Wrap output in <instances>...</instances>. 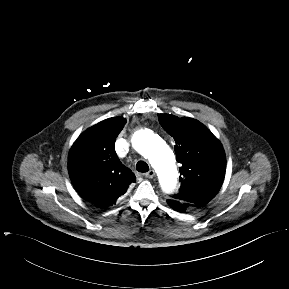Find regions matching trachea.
Wrapping results in <instances>:
<instances>
[{"mask_svg": "<svg viewBox=\"0 0 289 289\" xmlns=\"http://www.w3.org/2000/svg\"><path fill=\"white\" fill-rule=\"evenodd\" d=\"M136 169L137 171L139 172H142V173H145V172H148L149 171V166L146 162L144 161H139L137 164H136Z\"/></svg>", "mask_w": 289, "mask_h": 289, "instance_id": "obj_1", "label": "trachea"}]
</instances>
